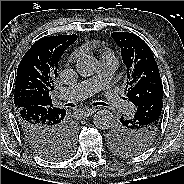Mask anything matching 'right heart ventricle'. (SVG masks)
I'll return each instance as SVG.
<instances>
[{
	"label": "right heart ventricle",
	"mask_w": 184,
	"mask_h": 184,
	"mask_svg": "<svg viewBox=\"0 0 184 184\" xmlns=\"http://www.w3.org/2000/svg\"><path fill=\"white\" fill-rule=\"evenodd\" d=\"M113 55L112 51L105 47L103 50H102V54H101V57H105V56H111Z\"/></svg>",
	"instance_id": "right-heart-ventricle-1"
}]
</instances>
